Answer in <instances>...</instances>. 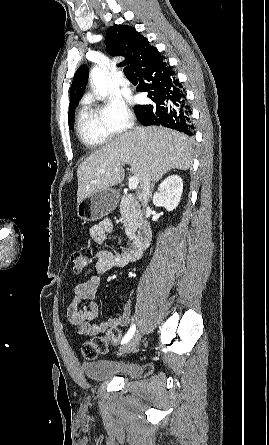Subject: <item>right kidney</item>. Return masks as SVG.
Instances as JSON below:
<instances>
[{"instance_id":"obj_1","label":"right kidney","mask_w":269,"mask_h":445,"mask_svg":"<svg viewBox=\"0 0 269 445\" xmlns=\"http://www.w3.org/2000/svg\"><path fill=\"white\" fill-rule=\"evenodd\" d=\"M183 181L178 175L168 176L161 182L158 191L153 196V204L173 211L181 200Z\"/></svg>"}]
</instances>
